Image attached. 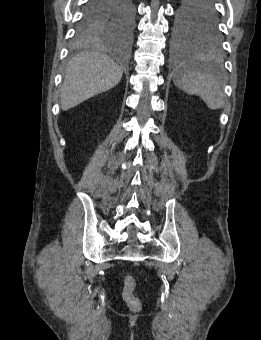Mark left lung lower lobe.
I'll use <instances>...</instances> for the list:
<instances>
[{"mask_svg": "<svg viewBox=\"0 0 261 340\" xmlns=\"http://www.w3.org/2000/svg\"><path fill=\"white\" fill-rule=\"evenodd\" d=\"M204 4L205 5H214V0H205Z\"/></svg>", "mask_w": 261, "mask_h": 340, "instance_id": "1", "label": "left lung lower lobe"}]
</instances>
